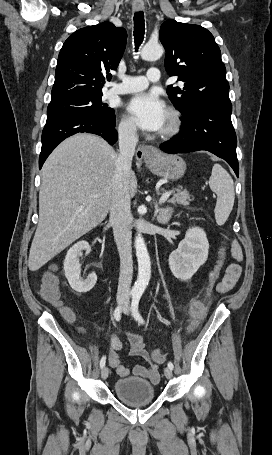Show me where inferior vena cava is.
I'll use <instances>...</instances> for the list:
<instances>
[{
    "label": "inferior vena cava",
    "mask_w": 272,
    "mask_h": 455,
    "mask_svg": "<svg viewBox=\"0 0 272 455\" xmlns=\"http://www.w3.org/2000/svg\"><path fill=\"white\" fill-rule=\"evenodd\" d=\"M119 155L113 177V195L110 205L109 221L113 225L114 239L120 256V275L117 295L127 298L133 275L131 249L130 195L128 178L131 173L132 158L135 153L138 137L135 125L119 128Z\"/></svg>",
    "instance_id": "inferior-vena-cava-1"
}]
</instances>
